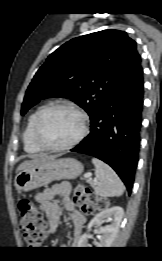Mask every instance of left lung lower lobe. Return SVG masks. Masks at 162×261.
<instances>
[{
  "label": "left lung lower lobe",
  "mask_w": 162,
  "mask_h": 261,
  "mask_svg": "<svg viewBox=\"0 0 162 261\" xmlns=\"http://www.w3.org/2000/svg\"><path fill=\"white\" fill-rule=\"evenodd\" d=\"M141 65L122 80L90 117L91 132L73 152L109 164L131 193L138 162L143 107Z\"/></svg>",
  "instance_id": "obj_1"
}]
</instances>
